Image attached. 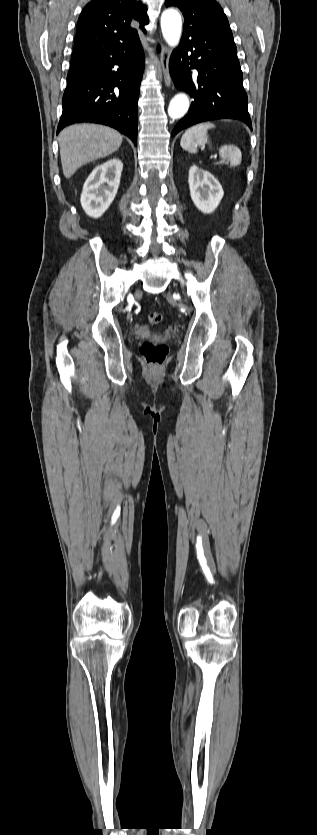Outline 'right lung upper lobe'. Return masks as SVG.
Returning <instances> with one entry per match:
<instances>
[{
    "mask_svg": "<svg viewBox=\"0 0 317 835\" xmlns=\"http://www.w3.org/2000/svg\"><path fill=\"white\" fill-rule=\"evenodd\" d=\"M147 8L137 0H93L81 12L74 51L90 48L115 50L139 39L145 32Z\"/></svg>",
    "mask_w": 317,
    "mask_h": 835,
    "instance_id": "1",
    "label": "right lung upper lobe"
}]
</instances>
